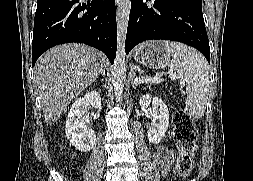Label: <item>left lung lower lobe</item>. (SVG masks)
<instances>
[{
  "label": "left lung lower lobe",
  "instance_id": "obj_1",
  "mask_svg": "<svg viewBox=\"0 0 253 181\" xmlns=\"http://www.w3.org/2000/svg\"><path fill=\"white\" fill-rule=\"evenodd\" d=\"M151 39L174 40L195 47L210 63L202 0H131L126 53Z\"/></svg>",
  "mask_w": 253,
  "mask_h": 181
}]
</instances>
